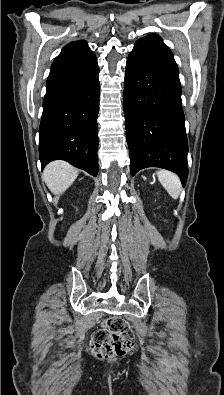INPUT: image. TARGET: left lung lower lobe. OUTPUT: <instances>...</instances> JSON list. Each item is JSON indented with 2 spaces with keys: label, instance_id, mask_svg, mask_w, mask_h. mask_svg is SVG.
I'll return each instance as SVG.
<instances>
[{
  "label": "left lung lower lobe",
  "instance_id": "0a47b994",
  "mask_svg": "<svg viewBox=\"0 0 224 395\" xmlns=\"http://www.w3.org/2000/svg\"><path fill=\"white\" fill-rule=\"evenodd\" d=\"M179 71L172 52L156 43L137 41L124 81L126 136L131 175L146 167L188 176V142Z\"/></svg>",
  "mask_w": 224,
  "mask_h": 395
}]
</instances>
